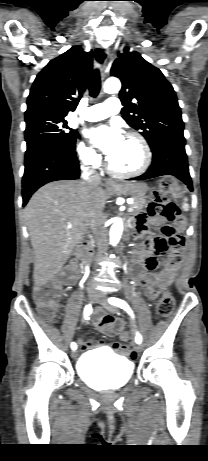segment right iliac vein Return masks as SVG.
<instances>
[{
    "label": "right iliac vein",
    "mask_w": 208,
    "mask_h": 461,
    "mask_svg": "<svg viewBox=\"0 0 208 461\" xmlns=\"http://www.w3.org/2000/svg\"><path fill=\"white\" fill-rule=\"evenodd\" d=\"M87 297H88V302L89 303H94L96 301V299H97V294L93 289H90L87 292ZM71 356L73 358H76L77 357V351H75V350L72 351Z\"/></svg>",
    "instance_id": "63e3f726"
}]
</instances>
